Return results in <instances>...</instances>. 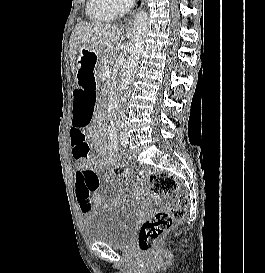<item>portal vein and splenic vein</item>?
Here are the masks:
<instances>
[{
	"label": "portal vein and splenic vein",
	"mask_w": 265,
	"mask_h": 273,
	"mask_svg": "<svg viewBox=\"0 0 265 273\" xmlns=\"http://www.w3.org/2000/svg\"><path fill=\"white\" fill-rule=\"evenodd\" d=\"M111 71H112V69L109 68V69L106 70L105 74H106V75H109V74L111 73Z\"/></svg>",
	"instance_id": "18ae733b"
}]
</instances>
